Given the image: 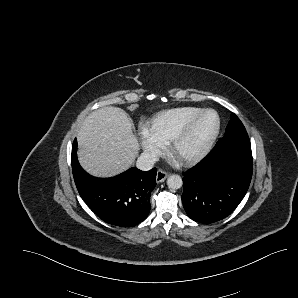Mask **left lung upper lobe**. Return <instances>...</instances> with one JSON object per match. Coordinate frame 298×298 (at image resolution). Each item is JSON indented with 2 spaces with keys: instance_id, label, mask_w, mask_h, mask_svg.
I'll return each mask as SVG.
<instances>
[{
  "instance_id": "left-lung-upper-lobe-1",
  "label": "left lung upper lobe",
  "mask_w": 298,
  "mask_h": 298,
  "mask_svg": "<svg viewBox=\"0 0 298 298\" xmlns=\"http://www.w3.org/2000/svg\"><path fill=\"white\" fill-rule=\"evenodd\" d=\"M240 129H245L242 122L240 121V119L234 114L232 113L231 115V119L226 127V132L225 133H229L235 130H240Z\"/></svg>"
}]
</instances>
